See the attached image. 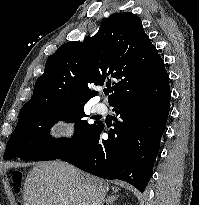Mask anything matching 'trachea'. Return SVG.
<instances>
[{"instance_id":"trachea-1","label":"trachea","mask_w":199,"mask_h":205,"mask_svg":"<svg viewBox=\"0 0 199 205\" xmlns=\"http://www.w3.org/2000/svg\"><path fill=\"white\" fill-rule=\"evenodd\" d=\"M109 92H111V91H110V90H105V91H104V93H105L106 95H108Z\"/></svg>"}]
</instances>
